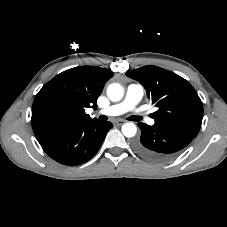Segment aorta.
Listing matches in <instances>:
<instances>
[{"mask_svg":"<svg viewBox=\"0 0 227 227\" xmlns=\"http://www.w3.org/2000/svg\"><path fill=\"white\" fill-rule=\"evenodd\" d=\"M107 96L113 102L122 100L124 96V88L118 83H112L107 87ZM121 131L127 138L134 137L137 132V127L132 122H127L122 125Z\"/></svg>","mask_w":227,"mask_h":227,"instance_id":"1","label":"aorta"}]
</instances>
